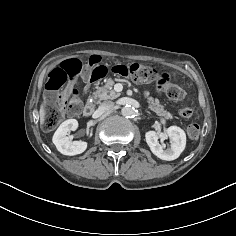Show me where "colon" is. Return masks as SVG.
I'll list each match as a JSON object with an SVG mask.
<instances>
[{
	"label": "colon",
	"instance_id": "colon-1",
	"mask_svg": "<svg viewBox=\"0 0 236 236\" xmlns=\"http://www.w3.org/2000/svg\"><path fill=\"white\" fill-rule=\"evenodd\" d=\"M109 72L118 76L129 77L138 83L155 82L158 88L174 101H181L185 97L184 90L180 86L171 83L167 73L161 72L152 66L134 62L126 65H114L108 69L106 66L99 65L96 58H91L88 64L85 65L79 59L71 58L56 68L46 83L48 95L42 122L44 130L50 131L56 128L62 121L65 111L74 116L82 110V104L78 99V91L74 88L66 91L70 95V100L67 104L64 102V96L60 91L63 90L68 81L77 80L82 76L86 82L93 83L104 78ZM193 112V109L189 106H182L179 109V114L183 118H191ZM187 133L191 139L198 138L200 126L197 123H191L187 128Z\"/></svg>",
	"mask_w": 236,
	"mask_h": 236
}]
</instances>
